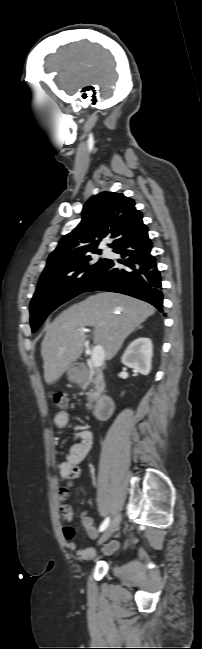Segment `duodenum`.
<instances>
[{
	"label": "duodenum",
	"instance_id": "duodenum-1",
	"mask_svg": "<svg viewBox=\"0 0 202 649\" xmlns=\"http://www.w3.org/2000/svg\"><path fill=\"white\" fill-rule=\"evenodd\" d=\"M113 411L114 403L109 396L101 397L94 407L95 416L101 420L108 419L112 415Z\"/></svg>",
	"mask_w": 202,
	"mask_h": 649
}]
</instances>
